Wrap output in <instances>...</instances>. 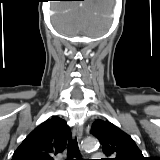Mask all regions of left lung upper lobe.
<instances>
[{"label": "left lung upper lobe", "mask_w": 160, "mask_h": 160, "mask_svg": "<svg viewBox=\"0 0 160 160\" xmlns=\"http://www.w3.org/2000/svg\"><path fill=\"white\" fill-rule=\"evenodd\" d=\"M90 133L98 138L109 157L104 160H145L133 139L109 121L96 120Z\"/></svg>", "instance_id": "obj_1"}]
</instances>
